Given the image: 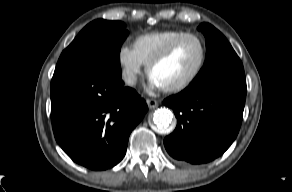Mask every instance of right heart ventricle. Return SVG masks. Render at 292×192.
<instances>
[{"instance_id": "1", "label": "right heart ventricle", "mask_w": 292, "mask_h": 192, "mask_svg": "<svg viewBox=\"0 0 292 192\" xmlns=\"http://www.w3.org/2000/svg\"><path fill=\"white\" fill-rule=\"evenodd\" d=\"M185 33L178 29L151 31L138 35L134 40V49L143 64H147L160 53L173 39Z\"/></svg>"}]
</instances>
